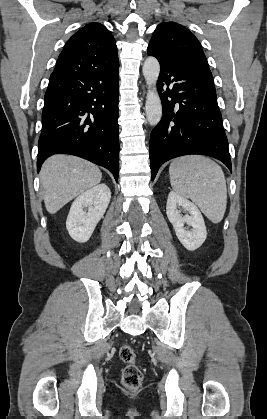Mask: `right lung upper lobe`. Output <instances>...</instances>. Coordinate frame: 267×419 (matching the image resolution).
Instances as JSON below:
<instances>
[{
  "label": "right lung upper lobe",
  "instance_id": "right-lung-upper-lobe-1",
  "mask_svg": "<svg viewBox=\"0 0 267 419\" xmlns=\"http://www.w3.org/2000/svg\"><path fill=\"white\" fill-rule=\"evenodd\" d=\"M118 62L116 42L110 31L100 23H90L67 41L54 72L99 70Z\"/></svg>",
  "mask_w": 267,
  "mask_h": 419
}]
</instances>
